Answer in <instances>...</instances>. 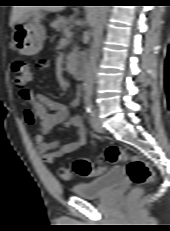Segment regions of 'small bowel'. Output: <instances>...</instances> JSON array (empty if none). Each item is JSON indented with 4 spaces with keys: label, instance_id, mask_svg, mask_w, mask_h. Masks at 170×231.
Listing matches in <instances>:
<instances>
[{
    "label": "small bowel",
    "instance_id": "obj_1",
    "mask_svg": "<svg viewBox=\"0 0 170 231\" xmlns=\"http://www.w3.org/2000/svg\"><path fill=\"white\" fill-rule=\"evenodd\" d=\"M33 68L34 73H43L48 69V62L45 59H38L33 64ZM18 94L30 104V107L25 108L23 112L26 123L35 125L38 122L40 131L35 136V143L45 163L53 164L58 158L73 153L86 144L87 134L82 118L80 115L70 112L73 107L78 106V98L65 104L44 94L33 93L28 88L18 90ZM57 124L74 128L76 130L75 139L61 146L58 142H46L45 135Z\"/></svg>",
    "mask_w": 170,
    "mask_h": 231
}]
</instances>
